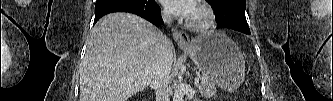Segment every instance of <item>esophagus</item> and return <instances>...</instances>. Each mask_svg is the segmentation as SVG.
Here are the masks:
<instances>
[{"label": "esophagus", "instance_id": "34e87169", "mask_svg": "<svg viewBox=\"0 0 333 101\" xmlns=\"http://www.w3.org/2000/svg\"><path fill=\"white\" fill-rule=\"evenodd\" d=\"M173 38L180 47H188L190 45V38L186 32L175 31Z\"/></svg>", "mask_w": 333, "mask_h": 101}]
</instances>
